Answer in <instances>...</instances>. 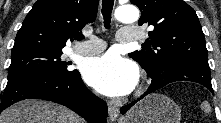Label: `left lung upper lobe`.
<instances>
[{"label":"left lung upper lobe","instance_id":"5c2ea615","mask_svg":"<svg viewBox=\"0 0 221 123\" xmlns=\"http://www.w3.org/2000/svg\"><path fill=\"white\" fill-rule=\"evenodd\" d=\"M141 10L138 24L150 26L145 50L129 57L137 61L149 77L163 68L196 62L208 65L204 34L196 12L183 0H131ZM149 44H152L153 49Z\"/></svg>","mask_w":221,"mask_h":123}]
</instances>
